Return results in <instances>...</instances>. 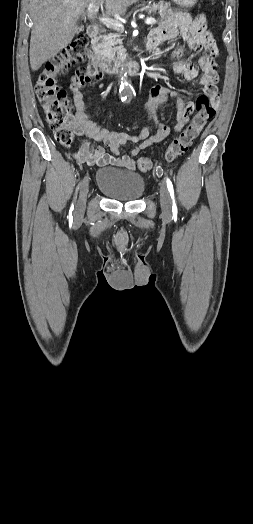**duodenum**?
<instances>
[{"label":"duodenum","instance_id":"410a0bca","mask_svg":"<svg viewBox=\"0 0 253 524\" xmlns=\"http://www.w3.org/2000/svg\"><path fill=\"white\" fill-rule=\"evenodd\" d=\"M87 35L92 42V61L97 63V68H102L104 73H118L122 69L132 74H139L141 65L137 62H124L115 58L105 57L101 51L96 47V41L99 35V28L97 26H89Z\"/></svg>","mask_w":253,"mask_h":524}]
</instances>
